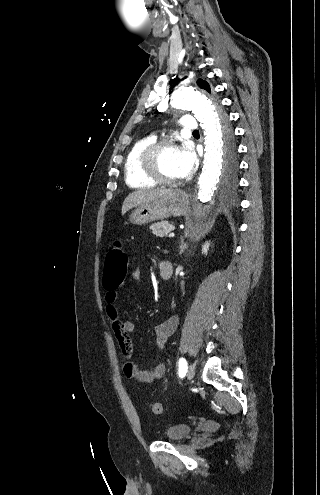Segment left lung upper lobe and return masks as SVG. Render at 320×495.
I'll list each match as a JSON object with an SVG mask.
<instances>
[{"label":"left lung upper lobe","mask_w":320,"mask_h":495,"mask_svg":"<svg viewBox=\"0 0 320 495\" xmlns=\"http://www.w3.org/2000/svg\"><path fill=\"white\" fill-rule=\"evenodd\" d=\"M197 85L210 92L208 82L198 79ZM223 168L226 175H231L237 168L236 146L233 140V135L228 127H223Z\"/></svg>","instance_id":"obj_1"}]
</instances>
